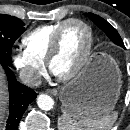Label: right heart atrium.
Masks as SVG:
<instances>
[{
  "mask_svg": "<svg viewBox=\"0 0 130 130\" xmlns=\"http://www.w3.org/2000/svg\"><path fill=\"white\" fill-rule=\"evenodd\" d=\"M12 63L20 78L29 86H37L45 74V64L33 58L26 50H17Z\"/></svg>",
  "mask_w": 130,
  "mask_h": 130,
  "instance_id": "obj_1",
  "label": "right heart atrium"
}]
</instances>
